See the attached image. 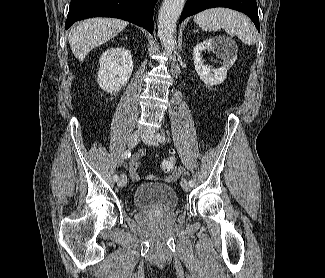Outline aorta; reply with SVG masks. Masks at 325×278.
<instances>
[{
  "instance_id": "762f6f07",
  "label": "aorta",
  "mask_w": 325,
  "mask_h": 278,
  "mask_svg": "<svg viewBox=\"0 0 325 278\" xmlns=\"http://www.w3.org/2000/svg\"><path fill=\"white\" fill-rule=\"evenodd\" d=\"M186 0H163L158 14V35L163 48L167 53H175L176 47V23L182 12ZM175 72L178 65H173Z\"/></svg>"
}]
</instances>
